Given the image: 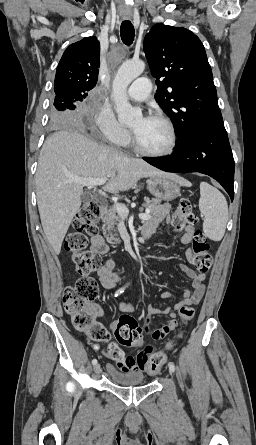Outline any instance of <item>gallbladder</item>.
I'll return each mask as SVG.
<instances>
[{
	"mask_svg": "<svg viewBox=\"0 0 256 445\" xmlns=\"http://www.w3.org/2000/svg\"><path fill=\"white\" fill-rule=\"evenodd\" d=\"M81 199L83 202H87L90 200V197L87 194H82Z\"/></svg>",
	"mask_w": 256,
	"mask_h": 445,
	"instance_id": "gallbladder-1",
	"label": "gallbladder"
}]
</instances>
